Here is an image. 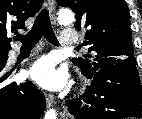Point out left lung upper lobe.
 Wrapping results in <instances>:
<instances>
[{
	"mask_svg": "<svg viewBox=\"0 0 142 119\" xmlns=\"http://www.w3.org/2000/svg\"><path fill=\"white\" fill-rule=\"evenodd\" d=\"M57 4L74 11L78 30L87 29L84 44L90 46L92 55L72 60L82 73L123 62L136 63L125 0H57Z\"/></svg>",
	"mask_w": 142,
	"mask_h": 119,
	"instance_id": "5c2ea615",
	"label": "left lung upper lobe"
}]
</instances>
